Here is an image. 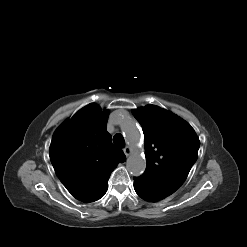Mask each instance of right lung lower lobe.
Instances as JSON below:
<instances>
[{
	"mask_svg": "<svg viewBox=\"0 0 247 247\" xmlns=\"http://www.w3.org/2000/svg\"><path fill=\"white\" fill-rule=\"evenodd\" d=\"M107 189L108 187L105 190H103V192L94 201L100 199L106 193Z\"/></svg>",
	"mask_w": 247,
	"mask_h": 247,
	"instance_id": "1",
	"label": "right lung lower lobe"
}]
</instances>
